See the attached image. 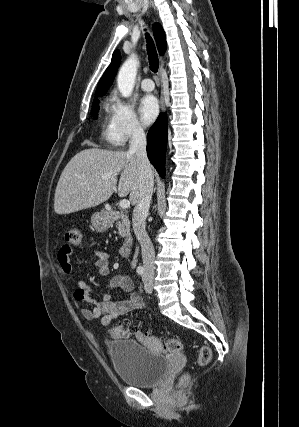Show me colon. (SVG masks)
I'll return each mask as SVG.
<instances>
[{
	"label": "colon",
	"instance_id": "obj_1",
	"mask_svg": "<svg viewBox=\"0 0 299 427\" xmlns=\"http://www.w3.org/2000/svg\"><path fill=\"white\" fill-rule=\"evenodd\" d=\"M64 240L71 246H79L82 242V229L80 226H74L64 233ZM113 337H126L131 334L138 333L137 329L128 321L113 326L109 330ZM164 348L168 352L179 353L183 350V343L180 340L169 338L164 342ZM212 352L208 346H202L200 348L197 363L201 366L208 364L211 360ZM187 376H183L180 380L181 384L186 382Z\"/></svg>",
	"mask_w": 299,
	"mask_h": 427
}]
</instances>
